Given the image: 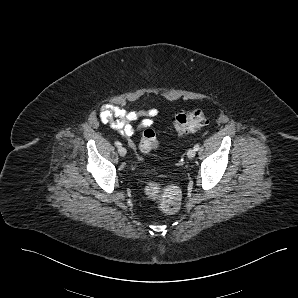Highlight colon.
<instances>
[{"mask_svg":"<svg viewBox=\"0 0 298 298\" xmlns=\"http://www.w3.org/2000/svg\"><path fill=\"white\" fill-rule=\"evenodd\" d=\"M206 124L207 119L199 109L178 114L174 120L175 131L180 136L195 132ZM158 146L159 141L156 133L152 129H146L141 137L140 150L144 153H149L156 150ZM146 192L158 209L165 213L176 212L180 207L182 193L176 185L149 183L146 187Z\"/></svg>","mask_w":298,"mask_h":298,"instance_id":"obj_1","label":"colon"}]
</instances>
